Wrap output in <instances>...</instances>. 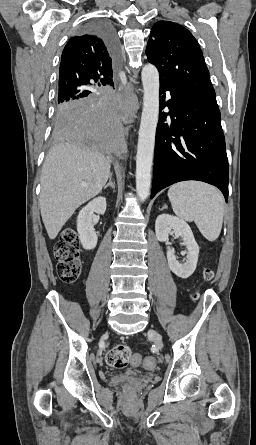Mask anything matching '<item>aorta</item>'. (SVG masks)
Listing matches in <instances>:
<instances>
[{"label":"aorta","instance_id":"762f6f07","mask_svg":"<svg viewBox=\"0 0 256 445\" xmlns=\"http://www.w3.org/2000/svg\"><path fill=\"white\" fill-rule=\"evenodd\" d=\"M143 110L136 155V192L141 201L150 193L155 134L159 117V73L152 64L142 69Z\"/></svg>","mask_w":256,"mask_h":445}]
</instances>
